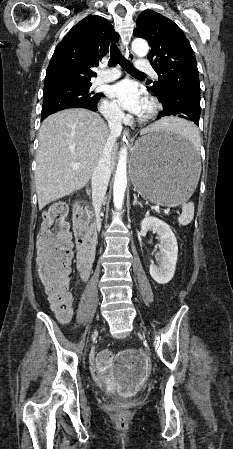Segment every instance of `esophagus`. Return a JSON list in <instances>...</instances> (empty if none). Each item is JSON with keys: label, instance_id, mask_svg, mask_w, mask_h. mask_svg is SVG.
Returning <instances> with one entry per match:
<instances>
[{"label": "esophagus", "instance_id": "esophagus-1", "mask_svg": "<svg viewBox=\"0 0 233 449\" xmlns=\"http://www.w3.org/2000/svg\"><path fill=\"white\" fill-rule=\"evenodd\" d=\"M120 47H121L123 53L125 54L126 58L130 61H134V59H135L134 54L132 52H130L128 50V48H125L121 41H120ZM123 135H124L123 137L126 141L130 138V133L127 129L124 130Z\"/></svg>", "mask_w": 233, "mask_h": 449}]
</instances>
